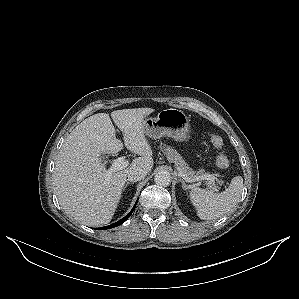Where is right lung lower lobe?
Returning a JSON list of instances; mask_svg holds the SVG:
<instances>
[{"mask_svg": "<svg viewBox=\"0 0 299 299\" xmlns=\"http://www.w3.org/2000/svg\"><path fill=\"white\" fill-rule=\"evenodd\" d=\"M137 202H138V200H137ZM137 202L135 203V205H134L133 209L130 211V213L127 214L124 218H122L121 220L115 222L114 224H111V225H108V226H105V227H101V228H99V230L110 229V228L116 227V226L122 224L123 222H125L129 218V216L132 214V212L134 211Z\"/></svg>", "mask_w": 299, "mask_h": 299, "instance_id": "1", "label": "right lung lower lobe"}]
</instances>
